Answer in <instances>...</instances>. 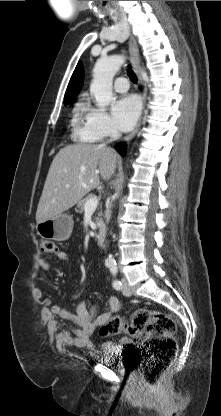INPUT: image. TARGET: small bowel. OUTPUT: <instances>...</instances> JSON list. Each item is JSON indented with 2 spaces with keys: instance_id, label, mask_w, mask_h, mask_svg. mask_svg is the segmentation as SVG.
<instances>
[{
  "instance_id": "1",
  "label": "small bowel",
  "mask_w": 221,
  "mask_h": 416,
  "mask_svg": "<svg viewBox=\"0 0 221 416\" xmlns=\"http://www.w3.org/2000/svg\"><path fill=\"white\" fill-rule=\"evenodd\" d=\"M56 258L61 262H66L69 256L64 251H57ZM37 263L43 271L51 269L50 263L43 258L38 257ZM37 297L48 304L47 299H43L42 293L38 292ZM121 304L117 297L111 296L108 299V309L100 314H97L95 306L88 307L87 301L82 300L76 307V313L72 314L68 310L58 306H47L43 310V316L50 329L56 332V339L59 343L73 346L78 349H86L91 347V338L95 331L100 328L107 320L120 310ZM58 319L68 320L75 325L73 330H66L60 328ZM114 346L112 342H106L103 347L110 351Z\"/></svg>"
}]
</instances>
